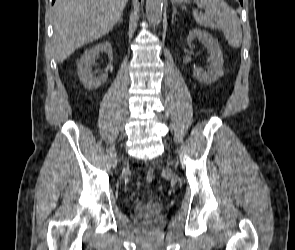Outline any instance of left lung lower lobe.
Here are the masks:
<instances>
[{"mask_svg": "<svg viewBox=\"0 0 295 250\" xmlns=\"http://www.w3.org/2000/svg\"><path fill=\"white\" fill-rule=\"evenodd\" d=\"M241 4H243L242 0H239Z\"/></svg>", "mask_w": 295, "mask_h": 250, "instance_id": "obj_1", "label": "left lung lower lobe"}]
</instances>
